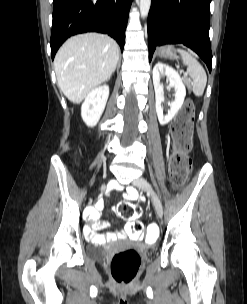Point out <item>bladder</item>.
<instances>
[{
    "label": "bladder",
    "mask_w": 247,
    "mask_h": 304,
    "mask_svg": "<svg viewBox=\"0 0 247 304\" xmlns=\"http://www.w3.org/2000/svg\"><path fill=\"white\" fill-rule=\"evenodd\" d=\"M88 254L93 258H101L104 254L103 247H90L88 249Z\"/></svg>",
    "instance_id": "1"
}]
</instances>
